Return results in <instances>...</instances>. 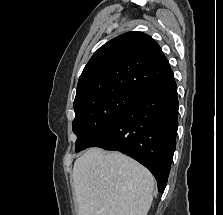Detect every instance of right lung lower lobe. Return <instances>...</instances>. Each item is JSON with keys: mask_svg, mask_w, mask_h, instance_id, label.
<instances>
[{"mask_svg": "<svg viewBox=\"0 0 223 215\" xmlns=\"http://www.w3.org/2000/svg\"><path fill=\"white\" fill-rule=\"evenodd\" d=\"M178 108L173 78L142 93L91 147L120 151L137 160L154 175L163 193L176 147Z\"/></svg>", "mask_w": 223, "mask_h": 215, "instance_id": "right-lung-lower-lobe-1", "label": "right lung lower lobe"}]
</instances>
